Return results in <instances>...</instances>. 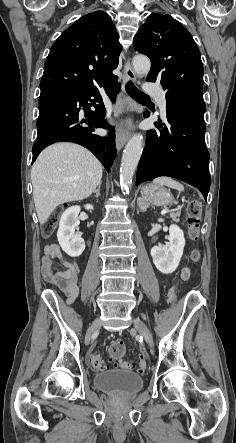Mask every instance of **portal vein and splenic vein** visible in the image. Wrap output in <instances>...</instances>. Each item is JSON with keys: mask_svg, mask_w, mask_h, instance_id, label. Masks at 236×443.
<instances>
[{"mask_svg": "<svg viewBox=\"0 0 236 443\" xmlns=\"http://www.w3.org/2000/svg\"><path fill=\"white\" fill-rule=\"evenodd\" d=\"M166 213H167V210H163V211L161 212L162 215H164V214H166Z\"/></svg>", "mask_w": 236, "mask_h": 443, "instance_id": "18ae733b", "label": "portal vein and splenic vein"}]
</instances>
